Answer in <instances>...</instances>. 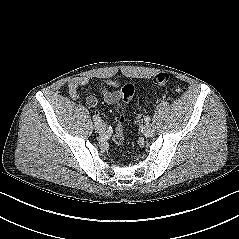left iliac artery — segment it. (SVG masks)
Wrapping results in <instances>:
<instances>
[{
  "label": "left iliac artery",
  "mask_w": 239,
  "mask_h": 239,
  "mask_svg": "<svg viewBox=\"0 0 239 239\" xmlns=\"http://www.w3.org/2000/svg\"><path fill=\"white\" fill-rule=\"evenodd\" d=\"M144 120H145L146 122H150V121H151V119H150L149 116H146V117L144 118Z\"/></svg>",
  "instance_id": "1"
}]
</instances>
